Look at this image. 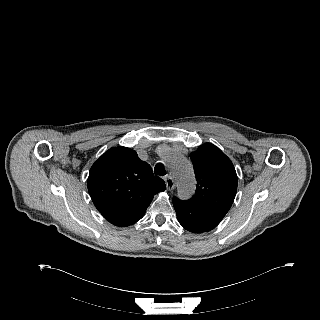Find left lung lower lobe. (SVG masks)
Listing matches in <instances>:
<instances>
[{
  "label": "left lung lower lobe",
  "mask_w": 320,
  "mask_h": 320,
  "mask_svg": "<svg viewBox=\"0 0 320 320\" xmlns=\"http://www.w3.org/2000/svg\"><path fill=\"white\" fill-rule=\"evenodd\" d=\"M173 205L179 223L193 233H203L215 228L223 217L224 212L213 210L188 201L173 198Z\"/></svg>",
  "instance_id": "1"
}]
</instances>
